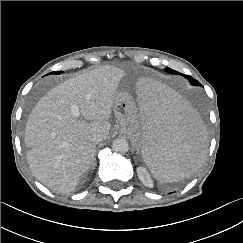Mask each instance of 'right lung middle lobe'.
I'll return each instance as SVG.
<instances>
[{
  "label": "right lung middle lobe",
  "instance_id": "dd1d6c3e",
  "mask_svg": "<svg viewBox=\"0 0 243 243\" xmlns=\"http://www.w3.org/2000/svg\"><path fill=\"white\" fill-rule=\"evenodd\" d=\"M55 73L60 74V73H62V71H60V72H55Z\"/></svg>",
  "mask_w": 243,
  "mask_h": 243
}]
</instances>
